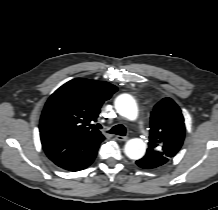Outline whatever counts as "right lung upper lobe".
Returning <instances> with one entry per match:
<instances>
[{
    "mask_svg": "<svg viewBox=\"0 0 218 210\" xmlns=\"http://www.w3.org/2000/svg\"><path fill=\"white\" fill-rule=\"evenodd\" d=\"M116 91L117 87L108 82L76 78L50 96L43 113L57 117L56 131L79 137L103 136L93 122L97 120L102 104Z\"/></svg>",
    "mask_w": 218,
    "mask_h": 210,
    "instance_id": "1",
    "label": "right lung upper lobe"
}]
</instances>
